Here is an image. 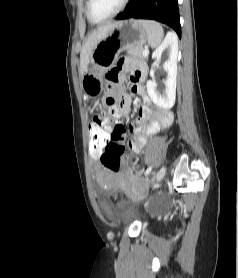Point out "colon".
<instances>
[{"instance_id":"1","label":"colon","mask_w":238,"mask_h":278,"mask_svg":"<svg viewBox=\"0 0 238 278\" xmlns=\"http://www.w3.org/2000/svg\"><path fill=\"white\" fill-rule=\"evenodd\" d=\"M118 80V76H117ZM110 82V81H109ZM106 104L108 106V115L110 117V123L108 125L103 124H88V129H100V130H88V135H93L91 137H87V142H90L89 148L90 156L93 159H96L97 156H100L101 164L112 171H117L120 166V159L121 155L123 154L126 145L123 143L124 137H112L111 136V128L112 127H119L118 121L116 119L117 111V102L116 99L113 98H106ZM115 105L116 109L114 113L110 112L111 106ZM108 135L111 138H115L119 141L118 144H110L108 139Z\"/></svg>"}]
</instances>
